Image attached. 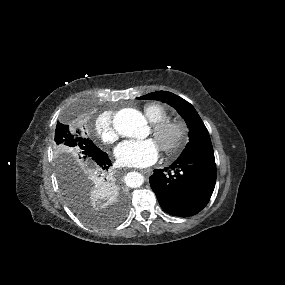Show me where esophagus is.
<instances>
[{"mask_svg":"<svg viewBox=\"0 0 285 285\" xmlns=\"http://www.w3.org/2000/svg\"><path fill=\"white\" fill-rule=\"evenodd\" d=\"M142 173H144L145 175H151L153 173L152 169H143L141 170Z\"/></svg>","mask_w":285,"mask_h":285,"instance_id":"esophagus-1","label":"esophagus"}]
</instances>
